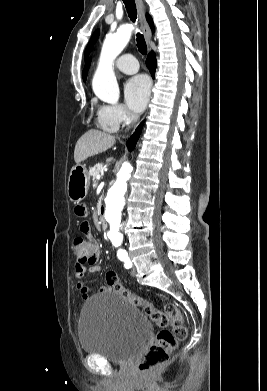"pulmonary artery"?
<instances>
[{"mask_svg":"<svg viewBox=\"0 0 267 391\" xmlns=\"http://www.w3.org/2000/svg\"><path fill=\"white\" fill-rule=\"evenodd\" d=\"M115 67L125 73L133 74L139 70L137 59L131 54H123L115 61Z\"/></svg>","mask_w":267,"mask_h":391,"instance_id":"pulmonary-artery-1","label":"pulmonary artery"}]
</instances>
